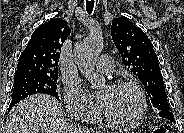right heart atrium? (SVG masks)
<instances>
[{"mask_svg":"<svg viewBox=\"0 0 184 133\" xmlns=\"http://www.w3.org/2000/svg\"><path fill=\"white\" fill-rule=\"evenodd\" d=\"M64 103L66 111L71 116L90 120L97 114L94 104L76 81L65 83Z\"/></svg>","mask_w":184,"mask_h":133,"instance_id":"1","label":"right heart atrium"}]
</instances>
